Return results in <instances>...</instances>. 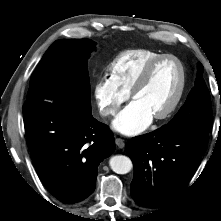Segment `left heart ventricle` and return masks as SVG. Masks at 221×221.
Returning <instances> with one entry per match:
<instances>
[{
    "mask_svg": "<svg viewBox=\"0 0 221 221\" xmlns=\"http://www.w3.org/2000/svg\"><path fill=\"white\" fill-rule=\"evenodd\" d=\"M180 82L178 64L167 59L157 65L147 84L135 95L133 101L140 103L152 116L162 112L173 100Z\"/></svg>",
    "mask_w": 221,
    "mask_h": 221,
    "instance_id": "1",
    "label": "left heart ventricle"
}]
</instances>
